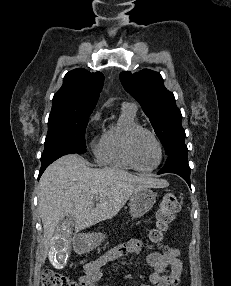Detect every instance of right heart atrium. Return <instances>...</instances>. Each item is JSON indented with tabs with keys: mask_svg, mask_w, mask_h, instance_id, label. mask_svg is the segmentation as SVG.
Here are the masks:
<instances>
[{
	"mask_svg": "<svg viewBox=\"0 0 231 286\" xmlns=\"http://www.w3.org/2000/svg\"><path fill=\"white\" fill-rule=\"evenodd\" d=\"M99 117V113L95 114L92 120H97Z\"/></svg>",
	"mask_w": 231,
	"mask_h": 286,
	"instance_id": "right-heart-atrium-1",
	"label": "right heart atrium"
}]
</instances>
